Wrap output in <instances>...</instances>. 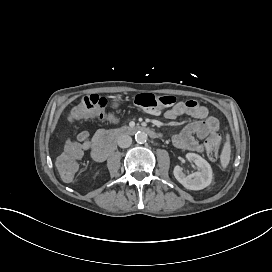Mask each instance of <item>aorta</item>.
<instances>
[{"label": "aorta", "mask_w": 272, "mask_h": 272, "mask_svg": "<svg viewBox=\"0 0 272 272\" xmlns=\"http://www.w3.org/2000/svg\"><path fill=\"white\" fill-rule=\"evenodd\" d=\"M147 138H148L147 134L143 131H138L135 134V140L138 143H145L147 141Z\"/></svg>", "instance_id": "1"}]
</instances>
